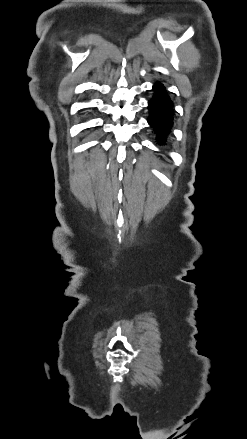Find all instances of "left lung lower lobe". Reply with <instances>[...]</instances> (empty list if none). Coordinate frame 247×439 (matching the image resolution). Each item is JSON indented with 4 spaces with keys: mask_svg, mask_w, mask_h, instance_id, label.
Returning <instances> with one entry per match:
<instances>
[{
    "mask_svg": "<svg viewBox=\"0 0 247 439\" xmlns=\"http://www.w3.org/2000/svg\"><path fill=\"white\" fill-rule=\"evenodd\" d=\"M153 89L157 94L149 101L151 117L148 118V123L155 127L161 143H165L164 138L169 132L173 119L172 103L167 97L163 84H155Z\"/></svg>",
    "mask_w": 247,
    "mask_h": 439,
    "instance_id": "obj_1",
    "label": "left lung lower lobe"
}]
</instances>
